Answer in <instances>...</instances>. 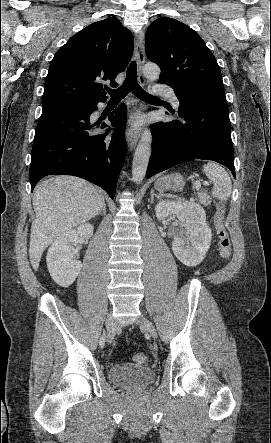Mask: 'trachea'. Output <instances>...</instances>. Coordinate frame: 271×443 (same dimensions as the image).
I'll return each instance as SVG.
<instances>
[{
    "label": "trachea",
    "instance_id": "1",
    "mask_svg": "<svg viewBox=\"0 0 271 443\" xmlns=\"http://www.w3.org/2000/svg\"><path fill=\"white\" fill-rule=\"evenodd\" d=\"M132 92L134 95L141 100L152 101V100H160L157 97H153L149 95V93L145 92L137 81V65L135 62H132L128 67L126 78L121 87L116 90H108V93L111 96V100H122V98L126 97V95Z\"/></svg>",
    "mask_w": 271,
    "mask_h": 443
}]
</instances>
